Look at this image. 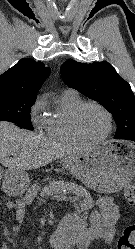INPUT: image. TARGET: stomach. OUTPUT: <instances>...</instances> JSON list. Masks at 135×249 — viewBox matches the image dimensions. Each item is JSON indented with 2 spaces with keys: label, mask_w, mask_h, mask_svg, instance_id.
Wrapping results in <instances>:
<instances>
[{
  "label": "stomach",
  "mask_w": 135,
  "mask_h": 249,
  "mask_svg": "<svg viewBox=\"0 0 135 249\" xmlns=\"http://www.w3.org/2000/svg\"><path fill=\"white\" fill-rule=\"evenodd\" d=\"M63 165L87 187L102 193H115L127 186L135 176V145L107 141L65 157ZM10 179L17 190L28 184V175L11 171Z\"/></svg>",
  "instance_id": "1"
}]
</instances>
